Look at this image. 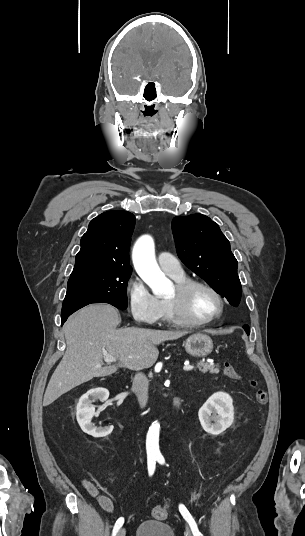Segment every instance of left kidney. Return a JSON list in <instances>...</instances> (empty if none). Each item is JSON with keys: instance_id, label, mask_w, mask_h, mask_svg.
Segmentation results:
<instances>
[{"instance_id": "1", "label": "left kidney", "mask_w": 305, "mask_h": 536, "mask_svg": "<svg viewBox=\"0 0 305 536\" xmlns=\"http://www.w3.org/2000/svg\"><path fill=\"white\" fill-rule=\"evenodd\" d=\"M198 416L205 432L212 436H219L233 424L234 408L231 396L225 392L213 394L200 408Z\"/></svg>"}]
</instances>
